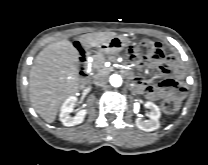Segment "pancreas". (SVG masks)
<instances>
[{"label":"pancreas","mask_w":208,"mask_h":165,"mask_svg":"<svg viewBox=\"0 0 208 165\" xmlns=\"http://www.w3.org/2000/svg\"><path fill=\"white\" fill-rule=\"evenodd\" d=\"M106 58L112 61L115 60L114 56L107 57L103 53H98L97 55L93 57L92 66L97 71L98 74L107 73L109 71V69L104 67V62L106 61Z\"/></svg>","instance_id":"pancreas-1"}]
</instances>
